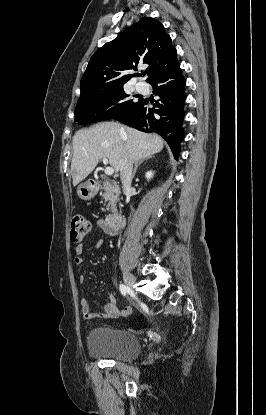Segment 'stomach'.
I'll return each mask as SVG.
<instances>
[{"mask_svg":"<svg viewBox=\"0 0 266 415\" xmlns=\"http://www.w3.org/2000/svg\"><path fill=\"white\" fill-rule=\"evenodd\" d=\"M77 194L82 200H91L97 194V188L90 181H87L78 186Z\"/></svg>","mask_w":266,"mask_h":415,"instance_id":"0dacf381","label":"stomach"}]
</instances>
